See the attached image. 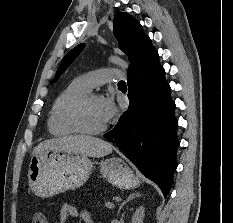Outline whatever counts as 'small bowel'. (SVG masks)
I'll return each instance as SVG.
<instances>
[{"label":"small bowel","instance_id":"1","mask_svg":"<svg viewBox=\"0 0 233 223\" xmlns=\"http://www.w3.org/2000/svg\"><path fill=\"white\" fill-rule=\"evenodd\" d=\"M69 218L83 220L85 223H94V219L87 211H81L77 207L65 203L60 211L59 223H67Z\"/></svg>","mask_w":233,"mask_h":223}]
</instances>
